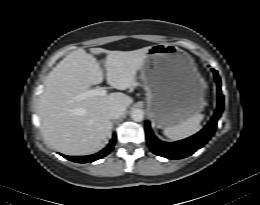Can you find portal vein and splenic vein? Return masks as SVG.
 I'll list each match as a JSON object with an SVG mask.
<instances>
[{
    "label": "portal vein and splenic vein",
    "mask_w": 260,
    "mask_h": 205,
    "mask_svg": "<svg viewBox=\"0 0 260 205\" xmlns=\"http://www.w3.org/2000/svg\"><path fill=\"white\" fill-rule=\"evenodd\" d=\"M106 94H107L106 89L98 88V89L89 90L87 92L79 94V95L75 96L74 99L77 101H80V100H84L88 97H93V96H106Z\"/></svg>",
    "instance_id": "obj_1"
}]
</instances>
